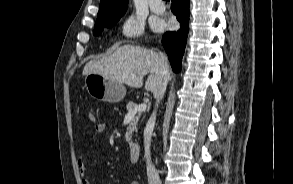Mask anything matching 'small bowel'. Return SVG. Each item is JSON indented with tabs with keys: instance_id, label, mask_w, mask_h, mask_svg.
Here are the masks:
<instances>
[{
	"instance_id": "obj_1",
	"label": "small bowel",
	"mask_w": 293,
	"mask_h": 184,
	"mask_svg": "<svg viewBox=\"0 0 293 184\" xmlns=\"http://www.w3.org/2000/svg\"><path fill=\"white\" fill-rule=\"evenodd\" d=\"M105 129H106V125L102 122H98L94 125V131L97 134L103 133L105 131ZM78 169H79V173L81 175L82 184H92L91 180L86 176L87 165H86V161L83 157L79 158V160H78ZM127 184H139V183L137 181H132Z\"/></svg>"
}]
</instances>
